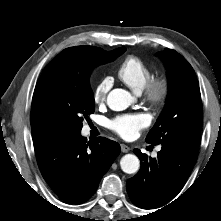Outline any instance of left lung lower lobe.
<instances>
[{"label": "left lung lower lobe", "instance_id": "1", "mask_svg": "<svg viewBox=\"0 0 221 221\" xmlns=\"http://www.w3.org/2000/svg\"><path fill=\"white\" fill-rule=\"evenodd\" d=\"M141 160L140 171L127 181L132 202L154 209L174 198L186 183L198 157V148L182 143H164L157 158L133 151Z\"/></svg>", "mask_w": 221, "mask_h": 221}]
</instances>
